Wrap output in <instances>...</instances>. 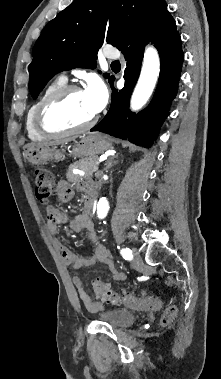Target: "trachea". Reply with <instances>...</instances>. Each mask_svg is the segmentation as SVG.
I'll list each match as a JSON object with an SVG mask.
<instances>
[{
    "label": "trachea",
    "instance_id": "trachea-1",
    "mask_svg": "<svg viewBox=\"0 0 221 379\" xmlns=\"http://www.w3.org/2000/svg\"><path fill=\"white\" fill-rule=\"evenodd\" d=\"M113 65H120L119 60L112 62Z\"/></svg>",
    "mask_w": 221,
    "mask_h": 379
}]
</instances>
